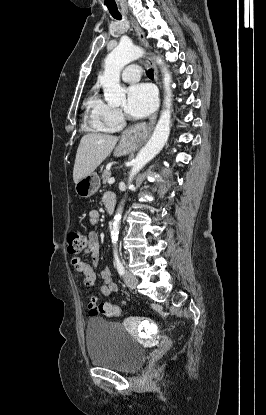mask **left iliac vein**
Instances as JSON below:
<instances>
[{"instance_id":"obj_1","label":"left iliac vein","mask_w":266,"mask_h":415,"mask_svg":"<svg viewBox=\"0 0 266 415\" xmlns=\"http://www.w3.org/2000/svg\"><path fill=\"white\" fill-rule=\"evenodd\" d=\"M124 281L130 289H135L138 284L137 277L128 271L124 274Z\"/></svg>"}]
</instances>
